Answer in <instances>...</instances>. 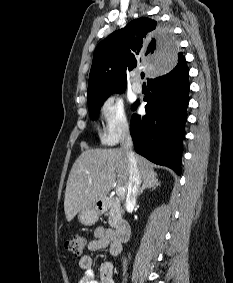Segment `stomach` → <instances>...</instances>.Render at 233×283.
<instances>
[{
    "label": "stomach",
    "mask_w": 233,
    "mask_h": 283,
    "mask_svg": "<svg viewBox=\"0 0 233 283\" xmlns=\"http://www.w3.org/2000/svg\"><path fill=\"white\" fill-rule=\"evenodd\" d=\"M100 214V210L93 204L79 211L78 219L84 225H92L97 222Z\"/></svg>",
    "instance_id": "0dacf381"
}]
</instances>
